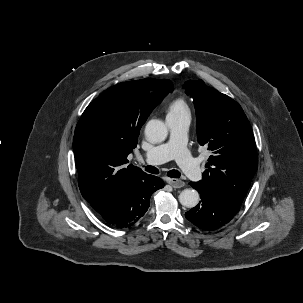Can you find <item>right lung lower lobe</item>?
<instances>
[{"label": "right lung lower lobe", "instance_id": "98d812e1", "mask_svg": "<svg viewBox=\"0 0 303 303\" xmlns=\"http://www.w3.org/2000/svg\"><path fill=\"white\" fill-rule=\"evenodd\" d=\"M163 186L161 178L143 174L132 183L111 192L95 210L109 225L119 229L129 228L146 213L151 194Z\"/></svg>", "mask_w": 303, "mask_h": 303}]
</instances>
